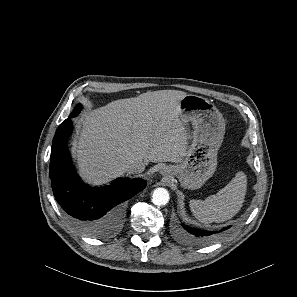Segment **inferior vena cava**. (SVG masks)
I'll return each mask as SVG.
<instances>
[{"mask_svg": "<svg viewBox=\"0 0 297 297\" xmlns=\"http://www.w3.org/2000/svg\"><path fill=\"white\" fill-rule=\"evenodd\" d=\"M124 168L129 174H138L144 171L145 164L138 159H129L125 162Z\"/></svg>", "mask_w": 297, "mask_h": 297, "instance_id": "602c4592", "label": "inferior vena cava"}]
</instances>
